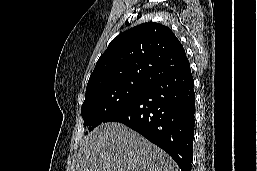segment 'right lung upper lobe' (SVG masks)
<instances>
[{
  "mask_svg": "<svg viewBox=\"0 0 257 171\" xmlns=\"http://www.w3.org/2000/svg\"><path fill=\"white\" fill-rule=\"evenodd\" d=\"M188 64L182 44L168 27L143 23L113 39L98 59L86 91L114 83L150 85Z\"/></svg>",
  "mask_w": 257,
  "mask_h": 171,
  "instance_id": "right-lung-upper-lobe-1",
  "label": "right lung upper lobe"
}]
</instances>
